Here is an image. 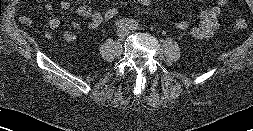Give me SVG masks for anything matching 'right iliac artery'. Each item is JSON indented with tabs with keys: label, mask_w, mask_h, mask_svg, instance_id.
I'll return each instance as SVG.
<instances>
[{
	"label": "right iliac artery",
	"mask_w": 253,
	"mask_h": 131,
	"mask_svg": "<svg viewBox=\"0 0 253 131\" xmlns=\"http://www.w3.org/2000/svg\"><path fill=\"white\" fill-rule=\"evenodd\" d=\"M130 20L128 19H120L115 23V26L118 28H125L126 26H129Z\"/></svg>",
	"instance_id": "obj_1"
}]
</instances>
